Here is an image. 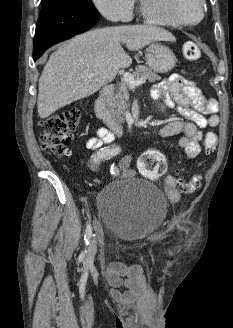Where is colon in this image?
I'll list each match as a JSON object with an SVG mask.
<instances>
[{"mask_svg":"<svg viewBox=\"0 0 233 328\" xmlns=\"http://www.w3.org/2000/svg\"><path fill=\"white\" fill-rule=\"evenodd\" d=\"M183 54L187 60L195 61L200 58V49L193 42L183 47ZM81 112L72 109L59 115H54L41 123L40 142L44 151L59 157L70 154V142L81 121ZM217 138L213 133L205 137V157L209 158L216 146ZM140 172L152 179L161 177L167 169L164 155L157 150H147L139 158ZM200 187V177L194 176L190 181L180 179V188L185 193H193Z\"/></svg>","mask_w":233,"mask_h":328,"instance_id":"5ec220e1","label":"colon"}]
</instances>
